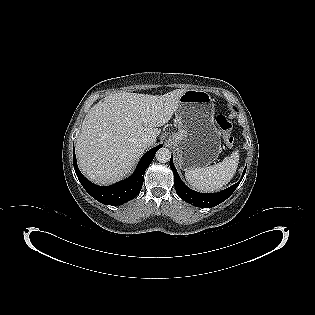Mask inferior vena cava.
Wrapping results in <instances>:
<instances>
[{
    "label": "inferior vena cava",
    "instance_id": "inferior-vena-cava-1",
    "mask_svg": "<svg viewBox=\"0 0 315 315\" xmlns=\"http://www.w3.org/2000/svg\"><path fill=\"white\" fill-rule=\"evenodd\" d=\"M155 140L151 136H144L142 138V143L146 146H151L153 145Z\"/></svg>",
    "mask_w": 315,
    "mask_h": 315
}]
</instances>
